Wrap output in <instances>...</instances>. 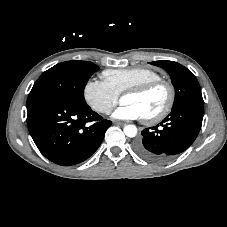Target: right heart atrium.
<instances>
[{"mask_svg":"<svg viewBox=\"0 0 227 227\" xmlns=\"http://www.w3.org/2000/svg\"><path fill=\"white\" fill-rule=\"evenodd\" d=\"M87 104L96 112L108 114L117 104L119 95L104 81L90 79L83 90Z\"/></svg>","mask_w":227,"mask_h":227,"instance_id":"1","label":"right heart atrium"}]
</instances>
